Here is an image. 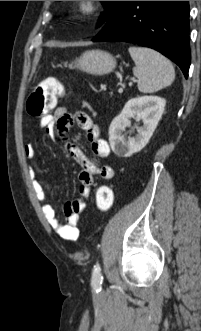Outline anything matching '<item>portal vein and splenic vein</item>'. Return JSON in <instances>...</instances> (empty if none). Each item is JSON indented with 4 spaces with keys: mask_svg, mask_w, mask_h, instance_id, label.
Segmentation results:
<instances>
[{
    "mask_svg": "<svg viewBox=\"0 0 201 331\" xmlns=\"http://www.w3.org/2000/svg\"><path fill=\"white\" fill-rule=\"evenodd\" d=\"M132 81H135V79H132ZM129 85H132V82H129ZM119 92H121V90H119Z\"/></svg>",
    "mask_w": 201,
    "mask_h": 331,
    "instance_id": "18ae733b",
    "label": "portal vein and splenic vein"
}]
</instances>
